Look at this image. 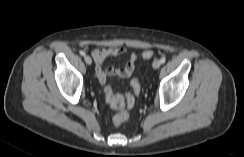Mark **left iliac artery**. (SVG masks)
<instances>
[{
  "label": "left iliac artery",
  "instance_id": "44dca946",
  "mask_svg": "<svg viewBox=\"0 0 244 157\" xmlns=\"http://www.w3.org/2000/svg\"><path fill=\"white\" fill-rule=\"evenodd\" d=\"M165 62H166V58L163 57V58L160 60V63H161V64H164Z\"/></svg>",
  "mask_w": 244,
  "mask_h": 157
}]
</instances>
